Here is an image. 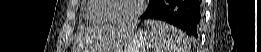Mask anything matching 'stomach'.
Returning <instances> with one entry per match:
<instances>
[{
  "label": "stomach",
  "mask_w": 261,
  "mask_h": 52,
  "mask_svg": "<svg viewBox=\"0 0 261 52\" xmlns=\"http://www.w3.org/2000/svg\"><path fill=\"white\" fill-rule=\"evenodd\" d=\"M116 40V45L112 48L116 52H146L151 45L148 34L143 31L132 34L122 32Z\"/></svg>",
  "instance_id": "obj_1"
}]
</instances>
